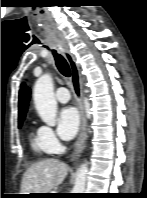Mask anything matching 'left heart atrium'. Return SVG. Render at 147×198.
Wrapping results in <instances>:
<instances>
[{
	"label": "left heart atrium",
	"instance_id": "left-heart-atrium-1",
	"mask_svg": "<svg viewBox=\"0 0 147 198\" xmlns=\"http://www.w3.org/2000/svg\"><path fill=\"white\" fill-rule=\"evenodd\" d=\"M80 124L78 111L74 107L61 109L58 115V133L63 139L73 138Z\"/></svg>",
	"mask_w": 147,
	"mask_h": 198
}]
</instances>
